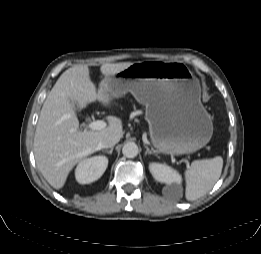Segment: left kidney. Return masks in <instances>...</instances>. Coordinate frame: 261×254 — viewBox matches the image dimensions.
Wrapping results in <instances>:
<instances>
[{
	"mask_svg": "<svg viewBox=\"0 0 261 254\" xmlns=\"http://www.w3.org/2000/svg\"><path fill=\"white\" fill-rule=\"evenodd\" d=\"M149 170L155 180L161 183L180 185L182 182L181 175L168 165L152 162L149 164Z\"/></svg>",
	"mask_w": 261,
	"mask_h": 254,
	"instance_id": "obj_1",
	"label": "left kidney"
}]
</instances>
